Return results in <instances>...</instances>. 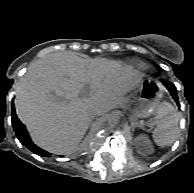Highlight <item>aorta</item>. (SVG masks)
I'll return each mask as SVG.
<instances>
[{
  "label": "aorta",
  "instance_id": "762f6f07",
  "mask_svg": "<svg viewBox=\"0 0 194 193\" xmlns=\"http://www.w3.org/2000/svg\"><path fill=\"white\" fill-rule=\"evenodd\" d=\"M108 123L112 127H121L124 124V118L118 113H112L108 117Z\"/></svg>",
  "mask_w": 194,
  "mask_h": 193
}]
</instances>
